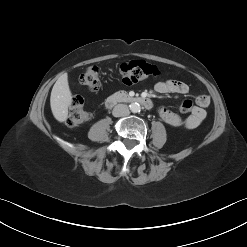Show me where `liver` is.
Masks as SVG:
<instances>
[{
	"label": "liver",
	"mask_w": 247,
	"mask_h": 247,
	"mask_svg": "<svg viewBox=\"0 0 247 247\" xmlns=\"http://www.w3.org/2000/svg\"><path fill=\"white\" fill-rule=\"evenodd\" d=\"M71 103L72 94L68 84V75L64 73L54 84L50 96L51 110L57 121H66L68 117V107Z\"/></svg>",
	"instance_id": "1"
}]
</instances>
